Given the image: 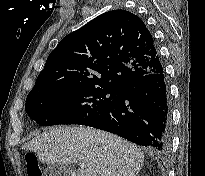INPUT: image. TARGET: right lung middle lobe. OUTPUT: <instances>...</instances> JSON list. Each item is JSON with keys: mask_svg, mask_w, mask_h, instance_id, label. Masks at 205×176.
Segmentation results:
<instances>
[{"mask_svg": "<svg viewBox=\"0 0 205 176\" xmlns=\"http://www.w3.org/2000/svg\"><path fill=\"white\" fill-rule=\"evenodd\" d=\"M112 87H65L30 94L25 110L41 126L85 125L95 119L118 94Z\"/></svg>", "mask_w": 205, "mask_h": 176, "instance_id": "obj_1", "label": "right lung middle lobe"}]
</instances>
